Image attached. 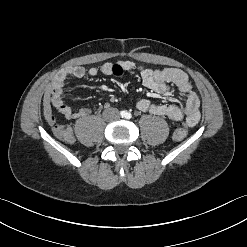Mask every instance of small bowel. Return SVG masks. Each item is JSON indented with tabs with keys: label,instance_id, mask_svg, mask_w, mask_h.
I'll use <instances>...</instances> for the list:
<instances>
[{
	"label": "small bowel",
	"instance_id": "1",
	"mask_svg": "<svg viewBox=\"0 0 247 247\" xmlns=\"http://www.w3.org/2000/svg\"><path fill=\"white\" fill-rule=\"evenodd\" d=\"M134 71L139 72L143 85L148 89L158 94H165L169 92L170 85H175L186 98L184 106H178L176 104H156L150 102L148 99H140L136 104L140 111L163 116L171 121L181 122L187 127H193L199 122L200 101L197 94L192 90L191 83L184 71L177 68L151 69L138 66L131 61H121L117 63L106 62L100 67H91L89 69L82 66L65 68L52 80L50 91L51 104L68 120L89 115L92 112L91 108H81L75 112L65 104L66 95L63 87L68 77H94L99 74L121 76L127 72Z\"/></svg>",
	"mask_w": 247,
	"mask_h": 247
}]
</instances>
